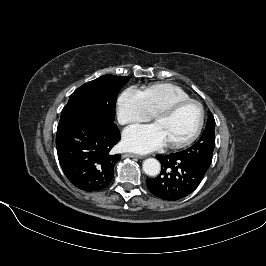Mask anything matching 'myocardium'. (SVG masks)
Returning a JSON list of instances; mask_svg holds the SVG:
<instances>
[{"instance_id": "1", "label": "myocardium", "mask_w": 266, "mask_h": 266, "mask_svg": "<svg viewBox=\"0 0 266 266\" xmlns=\"http://www.w3.org/2000/svg\"><path fill=\"white\" fill-rule=\"evenodd\" d=\"M187 104H195L199 108L198 124H197L195 130L193 131V133L189 137H187L186 139L178 141V142L167 143V146L170 148H173V149L183 148V147L190 145L193 141H195L197 139V137L200 135L201 130H202L203 125H204V120H205L204 107L201 104V102H199L198 100L189 98V99L174 102L171 105H169V106H167V107H165V108H163V109H161V110H159L153 114V120L155 122L158 118L167 117V116L172 115L178 109H180L181 107H183Z\"/></svg>"}]
</instances>
